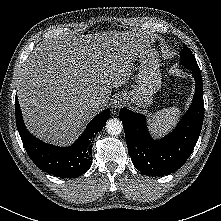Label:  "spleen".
Masks as SVG:
<instances>
[{
  "mask_svg": "<svg viewBox=\"0 0 221 221\" xmlns=\"http://www.w3.org/2000/svg\"><path fill=\"white\" fill-rule=\"evenodd\" d=\"M180 113L181 111L177 107H170L156 112L150 120V129L159 134L167 132L176 124Z\"/></svg>",
  "mask_w": 221,
  "mask_h": 221,
  "instance_id": "spleen-1",
  "label": "spleen"
}]
</instances>
